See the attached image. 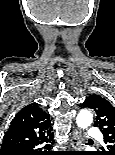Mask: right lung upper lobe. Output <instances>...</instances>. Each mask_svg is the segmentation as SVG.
I'll use <instances>...</instances> for the list:
<instances>
[{
  "instance_id": "right-lung-upper-lobe-1",
  "label": "right lung upper lobe",
  "mask_w": 115,
  "mask_h": 155,
  "mask_svg": "<svg viewBox=\"0 0 115 155\" xmlns=\"http://www.w3.org/2000/svg\"><path fill=\"white\" fill-rule=\"evenodd\" d=\"M49 115L37 103L25 106L12 120L5 133L0 154L34 141L51 137Z\"/></svg>"
}]
</instances>
